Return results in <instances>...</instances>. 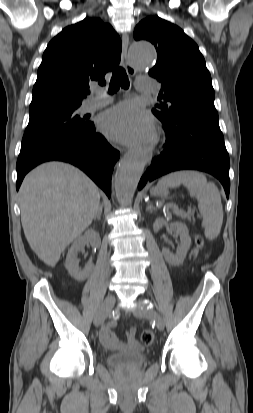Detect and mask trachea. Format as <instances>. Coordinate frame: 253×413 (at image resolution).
I'll return each mask as SVG.
<instances>
[{
    "instance_id": "3493384b",
    "label": "trachea",
    "mask_w": 253,
    "mask_h": 413,
    "mask_svg": "<svg viewBox=\"0 0 253 413\" xmlns=\"http://www.w3.org/2000/svg\"><path fill=\"white\" fill-rule=\"evenodd\" d=\"M129 79L123 67L116 68L111 77L109 84V93L113 94L119 90L120 87L124 89L129 88Z\"/></svg>"
}]
</instances>
